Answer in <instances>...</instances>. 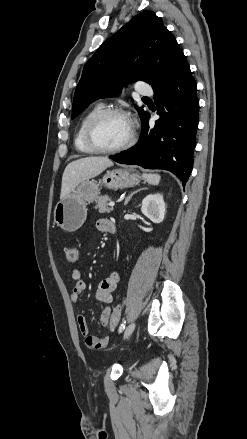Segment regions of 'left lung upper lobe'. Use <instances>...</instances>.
Listing matches in <instances>:
<instances>
[{"label":"left lung upper lobe","mask_w":247,"mask_h":439,"mask_svg":"<svg viewBox=\"0 0 247 439\" xmlns=\"http://www.w3.org/2000/svg\"><path fill=\"white\" fill-rule=\"evenodd\" d=\"M140 55L133 63L129 57ZM185 58L175 37L154 12H142L106 40L84 66L77 85L72 118L99 98L117 96L137 80L160 87ZM142 119L147 112L137 108Z\"/></svg>","instance_id":"left-lung-upper-lobe-1"}]
</instances>
